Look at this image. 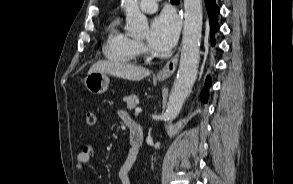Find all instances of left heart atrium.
Listing matches in <instances>:
<instances>
[{
  "label": "left heart atrium",
  "mask_w": 293,
  "mask_h": 184,
  "mask_svg": "<svg viewBox=\"0 0 293 184\" xmlns=\"http://www.w3.org/2000/svg\"><path fill=\"white\" fill-rule=\"evenodd\" d=\"M178 34L179 22L176 16L171 13L160 14L150 24L149 46L156 52H167L174 46Z\"/></svg>",
  "instance_id": "obj_1"
}]
</instances>
